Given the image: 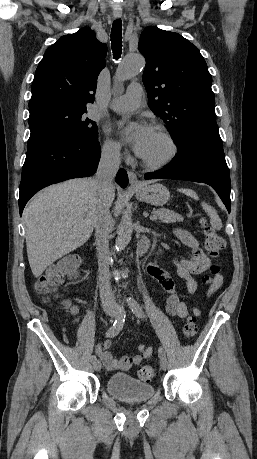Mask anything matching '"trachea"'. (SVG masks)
Masks as SVG:
<instances>
[{
	"label": "trachea",
	"instance_id": "trachea-1",
	"mask_svg": "<svg viewBox=\"0 0 257 459\" xmlns=\"http://www.w3.org/2000/svg\"><path fill=\"white\" fill-rule=\"evenodd\" d=\"M111 45L115 59H119L122 53V22L121 19L113 22L111 30Z\"/></svg>",
	"mask_w": 257,
	"mask_h": 459
}]
</instances>
